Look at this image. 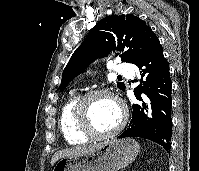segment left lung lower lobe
<instances>
[{
  "instance_id": "1",
  "label": "left lung lower lobe",
  "mask_w": 199,
  "mask_h": 171,
  "mask_svg": "<svg viewBox=\"0 0 199 171\" xmlns=\"http://www.w3.org/2000/svg\"><path fill=\"white\" fill-rule=\"evenodd\" d=\"M142 84L134 89L139 103L133 104L129 127L118 137H141L161 145L170 152L172 137L171 88L169 64L159 40L136 64Z\"/></svg>"
}]
</instances>
